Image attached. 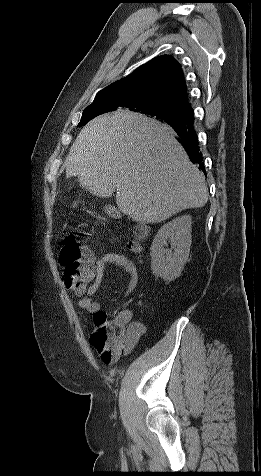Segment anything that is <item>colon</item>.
<instances>
[{"label":"colon","instance_id":"obj_1","mask_svg":"<svg viewBox=\"0 0 261 476\" xmlns=\"http://www.w3.org/2000/svg\"><path fill=\"white\" fill-rule=\"evenodd\" d=\"M143 235L144 231H139ZM129 248L138 250L136 242H130ZM63 266L62 280L65 287L73 292L83 289L92 277V260L82 248L75 235L67 236L59 255ZM123 332L113 328L107 322L104 312L94 316V329L90 337L92 346L101 354L108 356L123 341Z\"/></svg>","mask_w":261,"mask_h":476}]
</instances>
